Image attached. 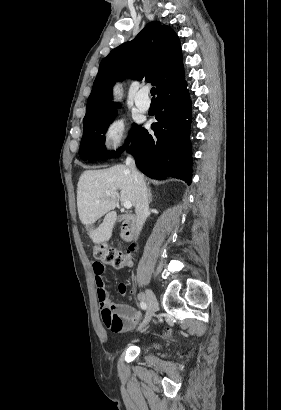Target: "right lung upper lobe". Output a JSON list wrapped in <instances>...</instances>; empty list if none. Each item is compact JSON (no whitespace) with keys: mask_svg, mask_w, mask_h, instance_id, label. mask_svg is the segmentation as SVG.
Instances as JSON below:
<instances>
[{"mask_svg":"<svg viewBox=\"0 0 281 410\" xmlns=\"http://www.w3.org/2000/svg\"><path fill=\"white\" fill-rule=\"evenodd\" d=\"M125 75L155 85L157 95L182 83V53L176 33L158 21L150 22L134 40L113 49L100 63L84 124L115 111L111 88Z\"/></svg>","mask_w":281,"mask_h":410,"instance_id":"obj_1","label":"right lung upper lobe"}]
</instances>
